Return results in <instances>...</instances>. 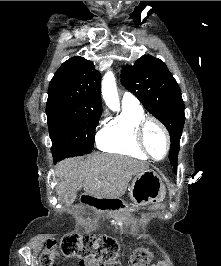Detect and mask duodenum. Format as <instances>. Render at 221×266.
Returning <instances> with one entry per match:
<instances>
[{"mask_svg": "<svg viewBox=\"0 0 221 266\" xmlns=\"http://www.w3.org/2000/svg\"><path fill=\"white\" fill-rule=\"evenodd\" d=\"M85 206H90V210H97L100 203H105V210H119L122 208L121 201L118 198H93L92 191H84V198L80 199ZM101 219H108L107 211H100Z\"/></svg>", "mask_w": 221, "mask_h": 266, "instance_id": "duodenum-1", "label": "duodenum"}]
</instances>
